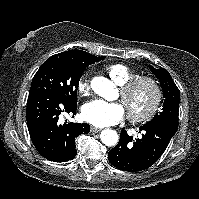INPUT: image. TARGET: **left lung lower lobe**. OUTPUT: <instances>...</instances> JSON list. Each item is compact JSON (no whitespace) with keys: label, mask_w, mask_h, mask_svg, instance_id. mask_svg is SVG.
I'll use <instances>...</instances> for the list:
<instances>
[{"label":"left lung lower lobe","mask_w":199,"mask_h":199,"mask_svg":"<svg viewBox=\"0 0 199 199\" xmlns=\"http://www.w3.org/2000/svg\"><path fill=\"white\" fill-rule=\"evenodd\" d=\"M142 138L133 141L125 130L119 143L109 151L108 160L124 171H141L152 166L163 154L177 128L163 123H147L140 127Z\"/></svg>","instance_id":"0a47b994"}]
</instances>
